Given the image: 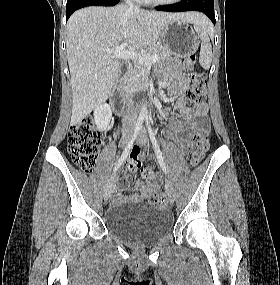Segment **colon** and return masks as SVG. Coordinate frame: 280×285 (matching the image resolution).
Segmentation results:
<instances>
[{
    "label": "colon",
    "mask_w": 280,
    "mask_h": 285,
    "mask_svg": "<svg viewBox=\"0 0 280 285\" xmlns=\"http://www.w3.org/2000/svg\"><path fill=\"white\" fill-rule=\"evenodd\" d=\"M196 64L194 56L184 61L186 70L191 72L192 85L187 92V98L191 104L199 105L206 94L207 78L203 72L193 71ZM208 131H196L190 138V152L193 162H199L209 148ZM102 143V134L96 128L93 120H84L71 126L68 139V152L75 165L87 173H92L97 160V153ZM141 150L135 149L131 154L132 159H138ZM145 179L150 180L154 172L151 169H143ZM152 202L162 204L166 202L163 193L151 196Z\"/></svg>",
    "instance_id": "5ec220e1"
}]
</instances>
